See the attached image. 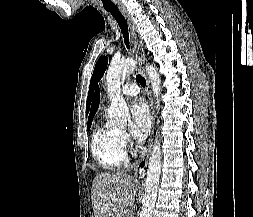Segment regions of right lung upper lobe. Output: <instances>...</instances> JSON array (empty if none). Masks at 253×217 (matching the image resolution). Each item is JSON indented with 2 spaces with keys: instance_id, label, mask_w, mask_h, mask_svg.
I'll use <instances>...</instances> for the list:
<instances>
[{
  "instance_id": "obj_1",
  "label": "right lung upper lobe",
  "mask_w": 253,
  "mask_h": 217,
  "mask_svg": "<svg viewBox=\"0 0 253 217\" xmlns=\"http://www.w3.org/2000/svg\"><path fill=\"white\" fill-rule=\"evenodd\" d=\"M99 99H100V91H99V87L97 86L96 92L94 94V98L92 101V105H91L90 115L88 117V123L92 122L93 120V117L99 106Z\"/></svg>"
}]
</instances>
